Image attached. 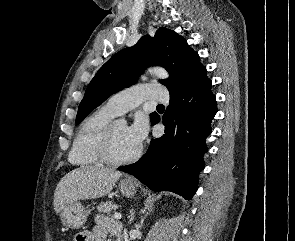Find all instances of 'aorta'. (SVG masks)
<instances>
[{
    "instance_id": "762f6f07",
    "label": "aorta",
    "mask_w": 295,
    "mask_h": 241,
    "mask_svg": "<svg viewBox=\"0 0 295 241\" xmlns=\"http://www.w3.org/2000/svg\"><path fill=\"white\" fill-rule=\"evenodd\" d=\"M146 72L147 74L154 75L161 79H166L169 76L167 71L161 67H152V68H149ZM122 121H124V119H122Z\"/></svg>"
}]
</instances>
